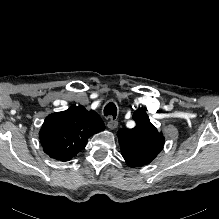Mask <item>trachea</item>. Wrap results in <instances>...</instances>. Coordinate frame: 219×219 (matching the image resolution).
<instances>
[{"label":"trachea","instance_id":"trachea-1","mask_svg":"<svg viewBox=\"0 0 219 219\" xmlns=\"http://www.w3.org/2000/svg\"><path fill=\"white\" fill-rule=\"evenodd\" d=\"M104 115L111 116L113 119L116 118L117 108L113 102H109L104 108Z\"/></svg>","mask_w":219,"mask_h":219}]
</instances>
